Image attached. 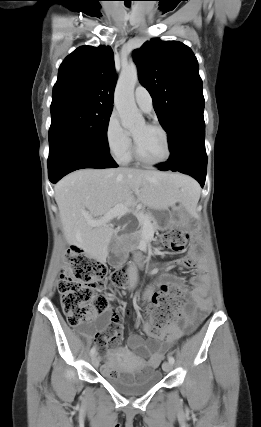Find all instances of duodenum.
<instances>
[{"label": "duodenum", "instance_id": "410a0bca", "mask_svg": "<svg viewBox=\"0 0 261 427\" xmlns=\"http://www.w3.org/2000/svg\"><path fill=\"white\" fill-rule=\"evenodd\" d=\"M136 262L141 267H147L148 266L147 260L141 256H137Z\"/></svg>", "mask_w": 261, "mask_h": 427}]
</instances>
